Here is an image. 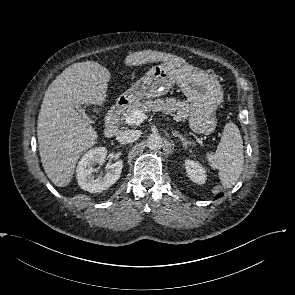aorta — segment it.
Segmentation results:
<instances>
[{
	"label": "aorta",
	"instance_id": "aorta-1",
	"mask_svg": "<svg viewBox=\"0 0 295 295\" xmlns=\"http://www.w3.org/2000/svg\"><path fill=\"white\" fill-rule=\"evenodd\" d=\"M163 145V140L159 134H151L147 138V146L150 150H159Z\"/></svg>",
	"mask_w": 295,
	"mask_h": 295
}]
</instances>
